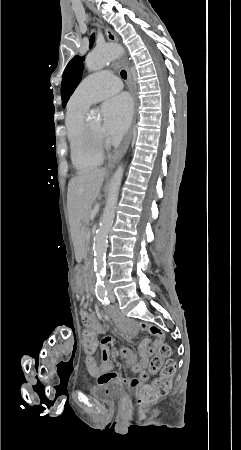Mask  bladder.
<instances>
[{"mask_svg": "<svg viewBox=\"0 0 241 450\" xmlns=\"http://www.w3.org/2000/svg\"><path fill=\"white\" fill-rule=\"evenodd\" d=\"M92 395L97 400L115 403L121 401L125 397L126 390L124 386L119 383L107 382L94 389Z\"/></svg>", "mask_w": 241, "mask_h": 450, "instance_id": "1", "label": "bladder"}]
</instances>
